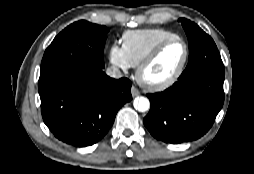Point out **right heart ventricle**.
I'll use <instances>...</instances> for the list:
<instances>
[{
  "label": "right heart ventricle",
  "mask_w": 254,
  "mask_h": 174,
  "mask_svg": "<svg viewBox=\"0 0 254 174\" xmlns=\"http://www.w3.org/2000/svg\"><path fill=\"white\" fill-rule=\"evenodd\" d=\"M177 37L174 32L163 28H149L128 30L122 34L123 50L133 67L146 57V55L161 41Z\"/></svg>",
  "instance_id": "1"
}]
</instances>
